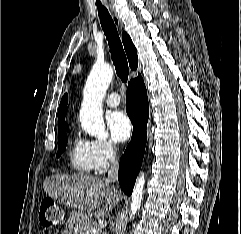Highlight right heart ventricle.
Here are the masks:
<instances>
[{
	"label": "right heart ventricle",
	"instance_id": "obj_1",
	"mask_svg": "<svg viewBox=\"0 0 241 234\" xmlns=\"http://www.w3.org/2000/svg\"><path fill=\"white\" fill-rule=\"evenodd\" d=\"M70 164L79 173L95 171L94 154L90 141L75 137L70 149Z\"/></svg>",
	"mask_w": 241,
	"mask_h": 234
}]
</instances>
